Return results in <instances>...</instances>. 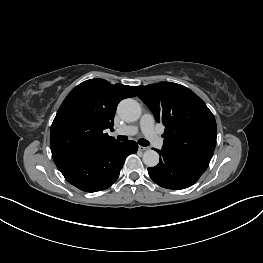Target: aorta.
<instances>
[{"instance_id": "aorta-1", "label": "aorta", "mask_w": 263, "mask_h": 263, "mask_svg": "<svg viewBox=\"0 0 263 263\" xmlns=\"http://www.w3.org/2000/svg\"><path fill=\"white\" fill-rule=\"evenodd\" d=\"M118 115L128 122H134L141 116V107L132 98L122 100L117 108ZM143 162L148 167H155L159 163V154L154 150H147L143 154Z\"/></svg>"}]
</instances>
